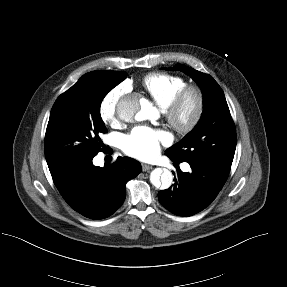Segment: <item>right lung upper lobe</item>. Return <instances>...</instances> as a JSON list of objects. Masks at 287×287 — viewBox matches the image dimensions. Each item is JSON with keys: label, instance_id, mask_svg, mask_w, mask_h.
<instances>
[{"label": "right lung upper lobe", "instance_id": "cb5924a9", "mask_svg": "<svg viewBox=\"0 0 287 287\" xmlns=\"http://www.w3.org/2000/svg\"><path fill=\"white\" fill-rule=\"evenodd\" d=\"M107 72H109L111 77H114V78H121V77H123V74H124V71H120V72L107 71Z\"/></svg>", "mask_w": 287, "mask_h": 287}]
</instances>
